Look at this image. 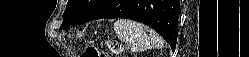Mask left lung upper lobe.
Segmentation results:
<instances>
[{
	"instance_id": "5c2ea615",
	"label": "left lung upper lobe",
	"mask_w": 249,
	"mask_h": 57,
	"mask_svg": "<svg viewBox=\"0 0 249 57\" xmlns=\"http://www.w3.org/2000/svg\"><path fill=\"white\" fill-rule=\"evenodd\" d=\"M112 0H69L63 14L61 28L81 24L103 11Z\"/></svg>"
}]
</instances>
